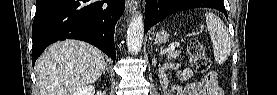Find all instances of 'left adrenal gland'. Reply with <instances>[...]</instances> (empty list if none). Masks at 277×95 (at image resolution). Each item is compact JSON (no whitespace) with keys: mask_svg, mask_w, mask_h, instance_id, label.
<instances>
[{"mask_svg":"<svg viewBox=\"0 0 277 95\" xmlns=\"http://www.w3.org/2000/svg\"><path fill=\"white\" fill-rule=\"evenodd\" d=\"M152 64L155 65L156 64V59L153 58Z\"/></svg>","mask_w":277,"mask_h":95,"instance_id":"left-adrenal-gland-1","label":"left adrenal gland"}]
</instances>
